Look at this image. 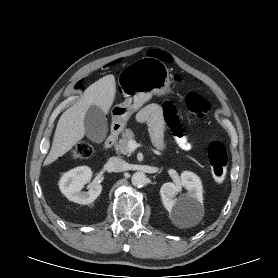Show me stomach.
Returning a JSON list of instances; mask_svg holds the SVG:
<instances>
[{"instance_id":"obj_1","label":"stomach","mask_w":278,"mask_h":278,"mask_svg":"<svg viewBox=\"0 0 278 278\" xmlns=\"http://www.w3.org/2000/svg\"><path fill=\"white\" fill-rule=\"evenodd\" d=\"M118 83L125 101L112 108L113 125L124 127L131 114L153 94L170 92L169 69L157 58L145 57L126 66L119 74Z\"/></svg>"}]
</instances>
